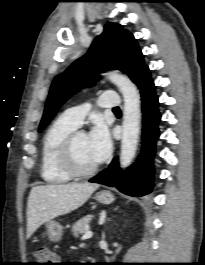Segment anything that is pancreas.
<instances>
[{
	"label": "pancreas",
	"instance_id": "cf45deb5",
	"mask_svg": "<svg viewBox=\"0 0 205 265\" xmlns=\"http://www.w3.org/2000/svg\"><path fill=\"white\" fill-rule=\"evenodd\" d=\"M91 218L92 217L90 215L85 216V217L81 218L80 220H78L72 226V232H73L75 237H78L79 234H83L89 230V222H90Z\"/></svg>",
	"mask_w": 205,
	"mask_h": 265
}]
</instances>
